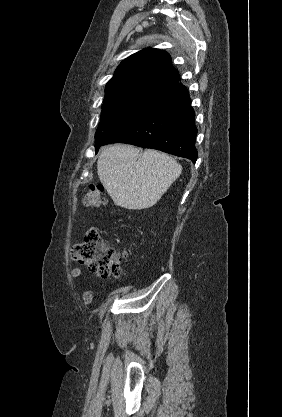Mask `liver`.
<instances>
[{"label":"liver","instance_id":"6515ba94","mask_svg":"<svg viewBox=\"0 0 282 417\" xmlns=\"http://www.w3.org/2000/svg\"><path fill=\"white\" fill-rule=\"evenodd\" d=\"M98 176L115 204L149 209L180 176L182 166L165 152L132 144H110L97 160Z\"/></svg>","mask_w":282,"mask_h":417}]
</instances>
